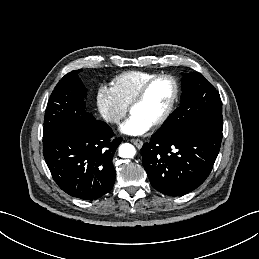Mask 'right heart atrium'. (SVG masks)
Here are the masks:
<instances>
[{
  "label": "right heart atrium",
  "instance_id": "obj_1",
  "mask_svg": "<svg viewBox=\"0 0 259 259\" xmlns=\"http://www.w3.org/2000/svg\"><path fill=\"white\" fill-rule=\"evenodd\" d=\"M97 106L103 118L110 123H119L128 111L127 105L108 86L98 89Z\"/></svg>",
  "mask_w": 259,
  "mask_h": 259
}]
</instances>
